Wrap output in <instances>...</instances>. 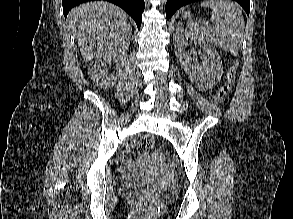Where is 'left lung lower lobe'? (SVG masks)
Here are the masks:
<instances>
[{
	"mask_svg": "<svg viewBox=\"0 0 293 219\" xmlns=\"http://www.w3.org/2000/svg\"><path fill=\"white\" fill-rule=\"evenodd\" d=\"M196 1H199V0H167V3H166L167 19H170L171 16L175 13V11L179 9L180 7L189 3L196 2ZM235 1L238 2L244 8L247 15H249V12H250L249 0H235Z\"/></svg>",
	"mask_w": 293,
	"mask_h": 219,
	"instance_id": "1",
	"label": "left lung lower lobe"
}]
</instances>
